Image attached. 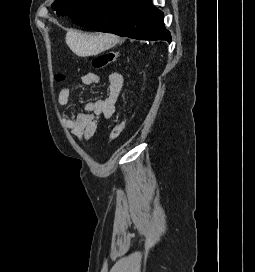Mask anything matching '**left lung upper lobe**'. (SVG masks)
<instances>
[{
  "mask_svg": "<svg viewBox=\"0 0 255 272\" xmlns=\"http://www.w3.org/2000/svg\"><path fill=\"white\" fill-rule=\"evenodd\" d=\"M90 0H56L52 8L59 16L71 15L87 4Z\"/></svg>",
  "mask_w": 255,
  "mask_h": 272,
  "instance_id": "1",
  "label": "left lung upper lobe"
}]
</instances>
